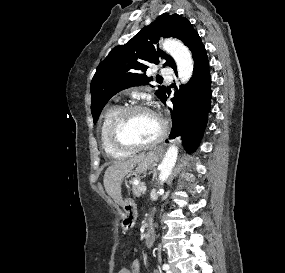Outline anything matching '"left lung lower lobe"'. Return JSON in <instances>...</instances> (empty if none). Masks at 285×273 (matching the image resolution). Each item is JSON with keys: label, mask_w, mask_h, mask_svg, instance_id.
<instances>
[{"label": "left lung lower lobe", "mask_w": 285, "mask_h": 273, "mask_svg": "<svg viewBox=\"0 0 285 273\" xmlns=\"http://www.w3.org/2000/svg\"><path fill=\"white\" fill-rule=\"evenodd\" d=\"M187 46L194 59L193 76L171 99L173 108L169 110L173 127L170 138L181 136L185 149L192 152L197 147L207 123L211 77L206 50L196 31L190 35ZM173 70L177 73L176 65ZM166 98L165 96L162 100L163 103Z\"/></svg>", "instance_id": "obj_1"}]
</instances>
